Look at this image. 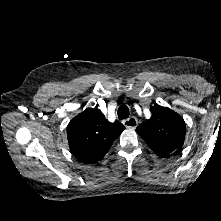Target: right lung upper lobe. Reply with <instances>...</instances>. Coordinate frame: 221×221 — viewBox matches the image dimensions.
Segmentation results:
<instances>
[{
	"label": "right lung upper lobe",
	"instance_id": "obj_1",
	"mask_svg": "<svg viewBox=\"0 0 221 221\" xmlns=\"http://www.w3.org/2000/svg\"><path fill=\"white\" fill-rule=\"evenodd\" d=\"M124 128L119 122L110 123L100 110L87 108L67 126L70 150L83 163L97 162Z\"/></svg>",
	"mask_w": 221,
	"mask_h": 221
}]
</instances>
